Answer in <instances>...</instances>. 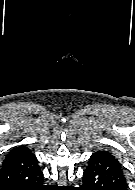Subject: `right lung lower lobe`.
<instances>
[{
	"instance_id": "1",
	"label": "right lung lower lobe",
	"mask_w": 135,
	"mask_h": 190,
	"mask_svg": "<svg viewBox=\"0 0 135 190\" xmlns=\"http://www.w3.org/2000/svg\"><path fill=\"white\" fill-rule=\"evenodd\" d=\"M0 190H48L33 154L7 156L0 168Z\"/></svg>"
}]
</instances>
